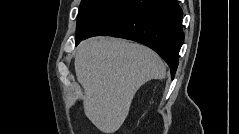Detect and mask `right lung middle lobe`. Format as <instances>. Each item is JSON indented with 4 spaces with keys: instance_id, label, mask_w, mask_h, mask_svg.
Instances as JSON below:
<instances>
[{
    "instance_id": "1",
    "label": "right lung middle lobe",
    "mask_w": 239,
    "mask_h": 134,
    "mask_svg": "<svg viewBox=\"0 0 239 134\" xmlns=\"http://www.w3.org/2000/svg\"><path fill=\"white\" fill-rule=\"evenodd\" d=\"M121 0H82L75 39L84 36L92 26Z\"/></svg>"
}]
</instances>
